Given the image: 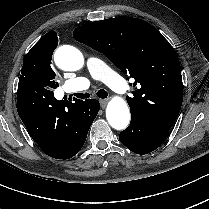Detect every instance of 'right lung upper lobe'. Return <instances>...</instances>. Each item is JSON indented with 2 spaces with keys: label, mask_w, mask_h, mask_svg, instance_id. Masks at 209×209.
Wrapping results in <instances>:
<instances>
[{
  "label": "right lung upper lobe",
  "mask_w": 209,
  "mask_h": 209,
  "mask_svg": "<svg viewBox=\"0 0 209 209\" xmlns=\"http://www.w3.org/2000/svg\"><path fill=\"white\" fill-rule=\"evenodd\" d=\"M42 42H50L57 47L58 37L56 32L50 31L46 33L37 43H42ZM71 106L72 107L70 108V112L68 111L67 113H65V116L69 115V117L66 118L65 120L71 119V121L75 125H79V126L83 125L90 114V108H91L90 105L87 104L86 101L75 100V103H71Z\"/></svg>",
  "instance_id": "obj_1"
}]
</instances>
